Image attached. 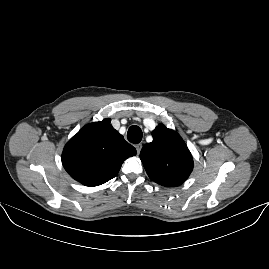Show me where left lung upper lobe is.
<instances>
[{
    "label": "left lung upper lobe",
    "mask_w": 269,
    "mask_h": 269,
    "mask_svg": "<svg viewBox=\"0 0 269 269\" xmlns=\"http://www.w3.org/2000/svg\"><path fill=\"white\" fill-rule=\"evenodd\" d=\"M153 141L140 152L145 170L154 182L175 187L181 185L193 170L192 156L180 135L163 124L152 132Z\"/></svg>",
    "instance_id": "5c2ea615"
}]
</instances>
